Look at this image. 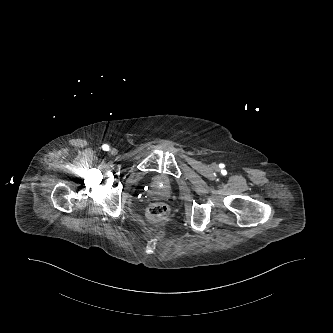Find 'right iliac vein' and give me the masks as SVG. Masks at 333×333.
<instances>
[{"label": "right iliac vein", "mask_w": 333, "mask_h": 333, "mask_svg": "<svg viewBox=\"0 0 333 333\" xmlns=\"http://www.w3.org/2000/svg\"><path fill=\"white\" fill-rule=\"evenodd\" d=\"M117 149L116 148H111L110 149V153H111V155H116L117 154Z\"/></svg>", "instance_id": "right-iliac-vein-1"}]
</instances>
